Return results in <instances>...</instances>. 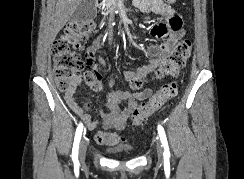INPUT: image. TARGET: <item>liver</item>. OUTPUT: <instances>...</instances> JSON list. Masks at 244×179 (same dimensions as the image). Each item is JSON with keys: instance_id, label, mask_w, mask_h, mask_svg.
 Listing matches in <instances>:
<instances>
[{"instance_id": "1", "label": "liver", "mask_w": 244, "mask_h": 179, "mask_svg": "<svg viewBox=\"0 0 244 179\" xmlns=\"http://www.w3.org/2000/svg\"><path fill=\"white\" fill-rule=\"evenodd\" d=\"M82 0H56L55 14L51 20L50 40L54 42L58 32L70 20Z\"/></svg>"}]
</instances>
